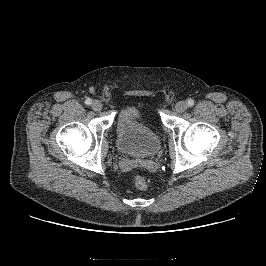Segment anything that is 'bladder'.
<instances>
[{
  "label": "bladder",
  "instance_id": "1",
  "mask_svg": "<svg viewBox=\"0 0 266 266\" xmlns=\"http://www.w3.org/2000/svg\"><path fill=\"white\" fill-rule=\"evenodd\" d=\"M117 148L124 155L135 158H150L161 148L160 136L133 107L123 109L117 120Z\"/></svg>",
  "mask_w": 266,
  "mask_h": 266
}]
</instances>
